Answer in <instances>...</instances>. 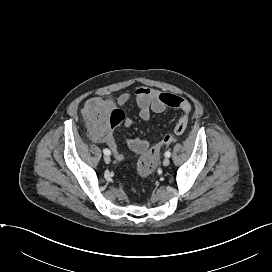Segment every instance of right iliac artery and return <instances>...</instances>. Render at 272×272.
Instances as JSON below:
<instances>
[{"label":"right iliac artery","mask_w":272,"mask_h":272,"mask_svg":"<svg viewBox=\"0 0 272 272\" xmlns=\"http://www.w3.org/2000/svg\"><path fill=\"white\" fill-rule=\"evenodd\" d=\"M103 153H104L105 155H110V154H111V152H110L109 149H104V150H103Z\"/></svg>","instance_id":"right-iliac-artery-1"}]
</instances>
